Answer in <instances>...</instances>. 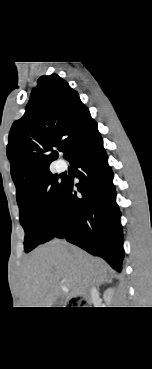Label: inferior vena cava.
Returning <instances> with one entry per match:
<instances>
[{
	"label": "inferior vena cava",
	"mask_w": 152,
	"mask_h": 369,
	"mask_svg": "<svg viewBox=\"0 0 152 369\" xmlns=\"http://www.w3.org/2000/svg\"><path fill=\"white\" fill-rule=\"evenodd\" d=\"M96 291H97V290H96L95 286H92V288H91L90 292H91V293H94V292H96Z\"/></svg>",
	"instance_id": "obj_1"
}]
</instances>
